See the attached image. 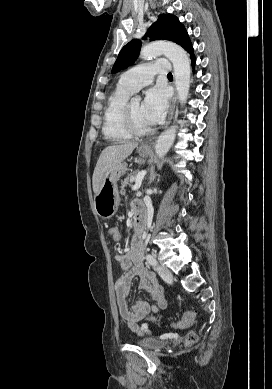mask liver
I'll return each instance as SVG.
<instances>
[{
	"label": "liver",
	"mask_w": 272,
	"mask_h": 389,
	"mask_svg": "<svg viewBox=\"0 0 272 389\" xmlns=\"http://www.w3.org/2000/svg\"><path fill=\"white\" fill-rule=\"evenodd\" d=\"M137 146V142H124L108 146L101 152L92 177V186L95 194L98 193L107 171L118 163L123 162Z\"/></svg>",
	"instance_id": "obj_1"
}]
</instances>
